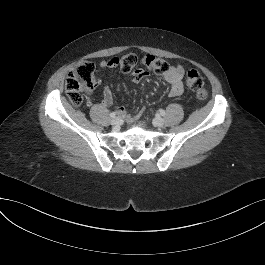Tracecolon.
Wrapping results in <instances>:
<instances>
[{
	"label": "colon",
	"mask_w": 265,
	"mask_h": 265,
	"mask_svg": "<svg viewBox=\"0 0 265 265\" xmlns=\"http://www.w3.org/2000/svg\"><path fill=\"white\" fill-rule=\"evenodd\" d=\"M114 62L125 73H130L137 65V57L133 53L124 54L120 57H114ZM142 63L148 71L158 75H164L169 70L168 63L159 57L146 55ZM98 83L95 74V66L91 61H80L68 73L65 82L66 94L69 102L74 106H80L83 92L93 90ZM186 84L193 91L196 98L203 101L207 98L208 93L204 86V80L201 74L191 69L186 73Z\"/></svg>",
	"instance_id": "obj_1"
}]
</instances>
